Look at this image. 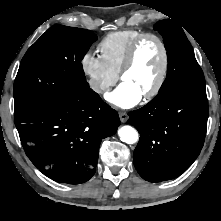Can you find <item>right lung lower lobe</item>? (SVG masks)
<instances>
[{"instance_id":"right-lung-lower-lobe-1","label":"right lung lower lobe","mask_w":221,"mask_h":221,"mask_svg":"<svg viewBox=\"0 0 221 221\" xmlns=\"http://www.w3.org/2000/svg\"><path fill=\"white\" fill-rule=\"evenodd\" d=\"M26 155L47 177L79 184L95 173L102 139L120 125L118 113L92 89L15 118Z\"/></svg>"}]
</instances>
